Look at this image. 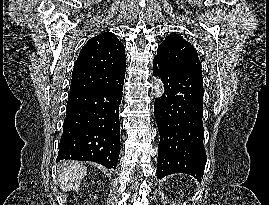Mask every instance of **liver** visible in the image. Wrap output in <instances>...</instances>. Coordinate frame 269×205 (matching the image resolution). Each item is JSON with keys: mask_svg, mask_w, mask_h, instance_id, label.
I'll return each instance as SVG.
<instances>
[{"mask_svg": "<svg viewBox=\"0 0 269 205\" xmlns=\"http://www.w3.org/2000/svg\"><path fill=\"white\" fill-rule=\"evenodd\" d=\"M86 174V167L79 162H68L64 164L58 178L60 188L64 191L73 190L78 192L80 183Z\"/></svg>", "mask_w": 269, "mask_h": 205, "instance_id": "6515ba94", "label": "liver"}]
</instances>
